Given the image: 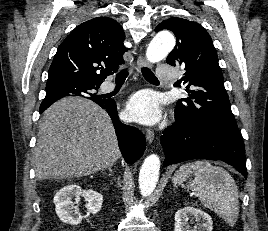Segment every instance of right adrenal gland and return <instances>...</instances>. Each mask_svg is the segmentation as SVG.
<instances>
[{
	"mask_svg": "<svg viewBox=\"0 0 268 231\" xmlns=\"http://www.w3.org/2000/svg\"><path fill=\"white\" fill-rule=\"evenodd\" d=\"M112 166L113 165L111 164V165L107 166L106 168L102 169V171L108 170L110 174H113V172H112Z\"/></svg>",
	"mask_w": 268,
	"mask_h": 231,
	"instance_id": "2a0ac1e0",
	"label": "right adrenal gland"
}]
</instances>
